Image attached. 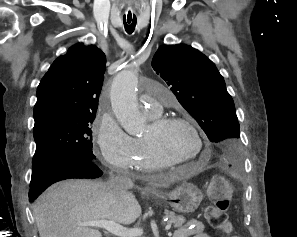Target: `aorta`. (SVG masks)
<instances>
[{
  "label": "aorta",
  "instance_id": "762f6f07",
  "mask_svg": "<svg viewBox=\"0 0 297 237\" xmlns=\"http://www.w3.org/2000/svg\"><path fill=\"white\" fill-rule=\"evenodd\" d=\"M137 84V70H124L114 78L110 93L113 112L130 135L141 133L145 124L138 110L135 92Z\"/></svg>",
  "mask_w": 297,
  "mask_h": 237
}]
</instances>
